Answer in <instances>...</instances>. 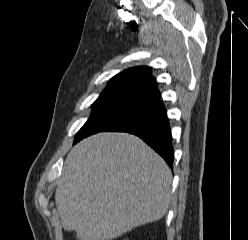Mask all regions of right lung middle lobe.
<instances>
[{
	"label": "right lung middle lobe",
	"instance_id": "1",
	"mask_svg": "<svg viewBox=\"0 0 248 240\" xmlns=\"http://www.w3.org/2000/svg\"><path fill=\"white\" fill-rule=\"evenodd\" d=\"M135 102H137V100L132 97L103 91V93H101L98 99L93 103L91 116L77 133L74 143L81 139L101 120Z\"/></svg>",
	"mask_w": 248,
	"mask_h": 240
}]
</instances>
